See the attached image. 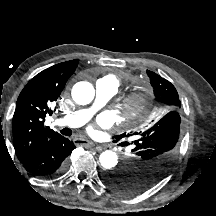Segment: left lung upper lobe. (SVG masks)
<instances>
[{"mask_svg":"<svg viewBox=\"0 0 216 216\" xmlns=\"http://www.w3.org/2000/svg\"><path fill=\"white\" fill-rule=\"evenodd\" d=\"M155 100L166 106L155 117L153 126L137 132L134 148L122 167L109 172L107 185L122 194H138L158 183L171 168L185 131L178 93L168 80L147 70ZM123 135L118 136L121 138Z\"/></svg>","mask_w":216,"mask_h":216,"instance_id":"1","label":"left lung upper lobe"}]
</instances>
